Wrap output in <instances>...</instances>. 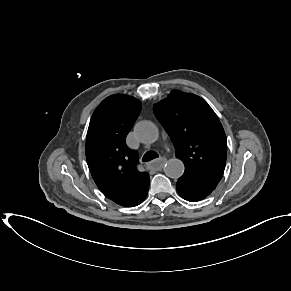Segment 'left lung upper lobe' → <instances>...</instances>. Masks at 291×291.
<instances>
[{
  "mask_svg": "<svg viewBox=\"0 0 291 291\" xmlns=\"http://www.w3.org/2000/svg\"><path fill=\"white\" fill-rule=\"evenodd\" d=\"M153 110L185 165L176 186L207 197L221 180L227 157L226 135L217 115L201 97L179 90L154 104Z\"/></svg>",
  "mask_w": 291,
  "mask_h": 291,
  "instance_id": "left-lung-upper-lobe-1",
  "label": "left lung upper lobe"
}]
</instances>
